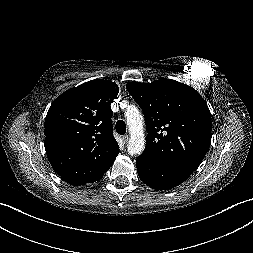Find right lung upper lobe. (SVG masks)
<instances>
[{"instance_id": "obj_1", "label": "right lung upper lobe", "mask_w": 253, "mask_h": 253, "mask_svg": "<svg viewBox=\"0 0 253 253\" xmlns=\"http://www.w3.org/2000/svg\"><path fill=\"white\" fill-rule=\"evenodd\" d=\"M118 92L114 82L96 79L65 91L51 104L44 123L45 150L65 182H96L116 159L110 105Z\"/></svg>"}]
</instances>
